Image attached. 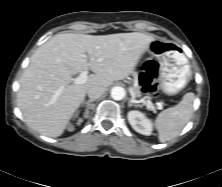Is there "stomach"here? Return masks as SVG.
Instances as JSON below:
<instances>
[{
	"label": "stomach",
	"mask_w": 222,
	"mask_h": 187,
	"mask_svg": "<svg viewBox=\"0 0 222 187\" xmlns=\"http://www.w3.org/2000/svg\"><path fill=\"white\" fill-rule=\"evenodd\" d=\"M147 51L159 62L160 83L165 93L174 95L186 87L192 72L180 45L163 38H154Z\"/></svg>",
	"instance_id": "0dacf381"
}]
</instances>
